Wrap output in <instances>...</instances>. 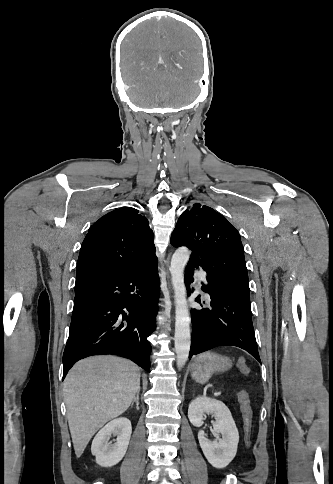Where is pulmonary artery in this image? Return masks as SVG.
Here are the masks:
<instances>
[{
    "label": "pulmonary artery",
    "mask_w": 333,
    "mask_h": 484,
    "mask_svg": "<svg viewBox=\"0 0 333 484\" xmlns=\"http://www.w3.org/2000/svg\"><path fill=\"white\" fill-rule=\"evenodd\" d=\"M200 279H201V280H202V281H203L205 284L207 283V280H206V278H205V276H204V275H200Z\"/></svg>",
    "instance_id": "pulmonary-artery-1"
}]
</instances>
